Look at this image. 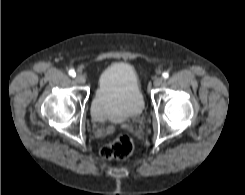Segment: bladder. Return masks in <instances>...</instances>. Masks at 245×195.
<instances>
[{
    "label": "bladder",
    "instance_id": "1",
    "mask_svg": "<svg viewBox=\"0 0 245 195\" xmlns=\"http://www.w3.org/2000/svg\"><path fill=\"white\" fill-rule=\"evenodd\" d=\"M144 109V98L135 69L116 62L101 73L91 103L92 118L99 123H122L136 119Z\"/></svg>",
    "mask_w": 245,
    "mask_h": 195
}]
</instances>
